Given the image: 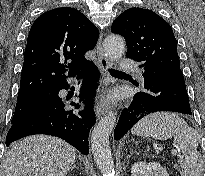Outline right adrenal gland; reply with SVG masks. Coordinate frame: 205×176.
Masks as SVG:
<instances>
[{
  "label": "right adrenal gland",
  "mask_w": 205,
  "mask_h": 176,
  "mask_svg": "<svg viewBox=\"0 0 205 176\" xmlns=\"http://www.w3.org/2000/svg\"><path fill=\"white\" fill-rule=\"evenodd\" d=\"M74 168H75V169H79V167H78V166H76V164H75V163L72 165L71 170H72V169H74Z\"/></svg>",
  "instance_id": "1"
}]
</instances>
